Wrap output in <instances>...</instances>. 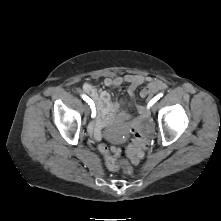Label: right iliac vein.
Instances as JSON below:
<instances>
[{
  "instance_id": "1",
  "label": "right iliac vein",
  "mask_w": 221,
  "mask_h": 221,
  "mask_svg": "<svg viewBox=\"0 0 221 221\" xmlns=\"http://www.w3.org/2000/svg\"><path fill=\"white\" fill-rule=\"evenodd\" d=\"M84 113H85L86 116L89 115V113H90V108H89L88 105H85V106H84Z\"/></svg>"
}]
</instances>
